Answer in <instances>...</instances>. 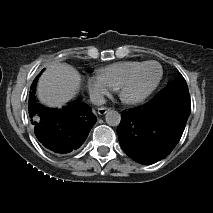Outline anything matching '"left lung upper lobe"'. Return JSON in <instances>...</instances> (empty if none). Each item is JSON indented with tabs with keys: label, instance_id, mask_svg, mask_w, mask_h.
<instances>
[{
	"label": "left lung upper lobe",
	"instance_id": "obj_1",
	"mask_svg": "<svg viewBox=\"0 0 213 213\" xmlns=\"http://www.w3.org/2000/svg\"><path fill=\"white\" fill-rule=\"evenodd\" d=\"M169 85H176L180 87H187L186 81L184 77L180 74L178 78H176L174 81H171L168 83Z\"/></svg>",
	"mask_w": 213,
	"mask_h": 213
}]
</instances>
